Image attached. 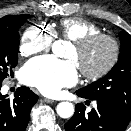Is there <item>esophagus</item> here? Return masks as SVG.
<instances>
[{
  "mask_svg": "<svg viewBox=\"0 0 131 131\" xmlns=\"http://www.w3.org/2000/svg\"><path fill=\"white\" fill-rule=\"evenodd\" d=\"M43 101L46 103H53L54 102L53 99H49V98H43Z\"/></svg>",
  "mask_w": 131,
  "mask_h": 131,
  "instance_id": "esophagus-1",
  "label": "esophagus"
}]
</instances>
